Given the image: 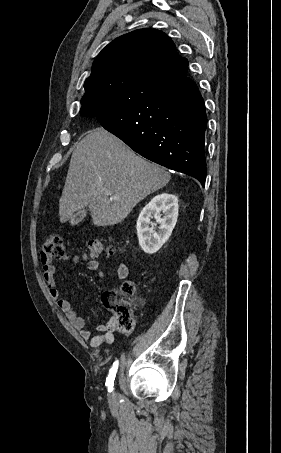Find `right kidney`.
Wrapping results in <instances>:
<instances>
[{
	"instance_id": "1",
	"label": "right kidney",
	"mask_w": 281,
	"mask_h": 453,
	"mask_svg": "<svg viewBox=\"0 0 281 453\" xmlns=\"http://www.w3.org/2000/svg\"><path fill=\"white\" fill-rule=\"evenodd\" d=\"M178 196L175 194H156L150 202L142 208L137 220V235L139 245L147 255H153L161 249L162 245L168 241L178 216ZM163 212L164 216H162ZM156 218V222H151L150 218ZM159 224V231H154V224Z\"/></svg>"
}]
</instances>
